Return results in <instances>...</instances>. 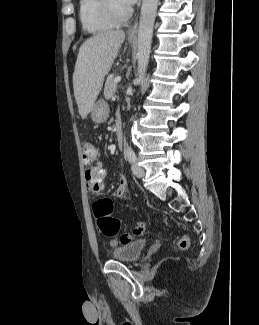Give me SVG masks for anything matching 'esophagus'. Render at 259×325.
<instances>
[{
	"label": "esophagus",
	"mask_w": 259,
	"mask_h": 325,
	"mask_svg": "<svg viewBox=\"0 0 259 325\" xmlns=\"http://www.w3.org/2000/svg\"><path fill=\"white\" fill-rule=\"evenodd\" d=\"M137 29H138V18L134 20L133 24L129 27L127 31V35L129 38H135L137 35Z\"/></svg>",
	"instance_id": "esophagus-1"
}]
</instances>
